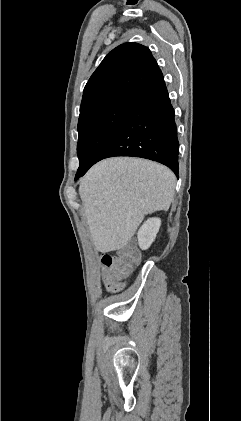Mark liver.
Masks as SVG:
<instances>
[{
	"label": "liver",
	"instance_id": "1",
	"mask_svg": "<svg viewBox=\"0 0 241 421\" xmlns=\"http://www.w3.org/2000/svg\"><path fill=\"white\" fill-rule=\"evenodd\" d=\"M175 184L170 169L140 158L115 157L92 166L79 195L95 249L124 248L145 215L169 209Z\"/></svg>",
	"mask_w": 241,
	"mask_h": 421
}]
</instances>
